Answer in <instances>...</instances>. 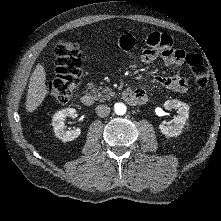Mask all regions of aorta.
Returning <instances> with one entry per match:
<instances>
[{
	"instance_id": "obj_1",
	"label": "aorta",
	"mask_w": 221,
	"mask_h": 221,
	"mask_svg": "<svg viewBox=\"0 0 221 221\" xmlns=\"http://www.w3.org/2000/svg\"><path fill=\"white\" fill-rule=\"evenodd\" d=\"M114 111L118 115H123L126 113V106L123 103H116L114 105Z\"/></svg>"
}]
</instances>
